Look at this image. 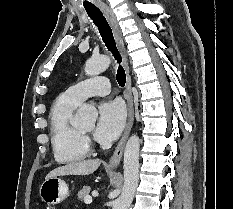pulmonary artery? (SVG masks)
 I'll list each match as a JSON object with an SVG mask.
<instances>
[{"instance_id": "pulmonary-artery-1", "label": "pulmonary artery", "mask_w": 233, "mask_h": 209, "mask_svg": "<svg viewBox=\"0 0 233 209\" xmlns=\"http://www.w3.org/2000/svg\"><path fill=\"white\" fill-rule=\"evenodd\" d=\"M66 92L75 102L81 103L92 96L109 94L110 82L106 77H92L71 86Z\"/></svg>"}]
</instances>
